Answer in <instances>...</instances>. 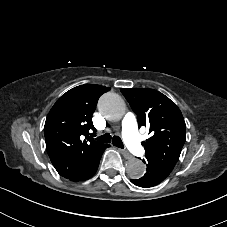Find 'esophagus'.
Instances as JSON below:
<instances>
[{
	"label": "esophagus",
	"instance_id": "1",
	"mask_svg": "<svg viewBox=\"0 0 227 227\" xmlns=\"http://www.w3.org/2000/svg\"><path fill=\"white\" fill-rule=\"evenodd\" d=\"M119 150L125 159L133 158V156L127 150H124V149H119Z\"/></svg>",
	"mask_w": 227,
	"mask_h": 227
}]
</instances>
